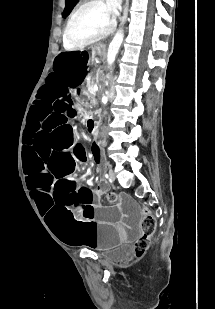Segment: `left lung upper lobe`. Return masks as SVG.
I'll return each mask as SVG.
<instances>
[{
    "mask_svg": "<svg viewBox=\"0 0 215 309\" xmlns=\"http://www.w3.org/2000/svg\"><path fill=\"white\" fill-rule=\"evenodd\" d=\"M75 1L76 0H66V7H65L64 12H63V17H66L69 14V12L72 9Z\"/></svg>",
    "mask_w": 215,
    "mask_h": 309,
    "instance_id": "5c2ea615",
    "label": "left lung upper lobe"
}]
</instances>
